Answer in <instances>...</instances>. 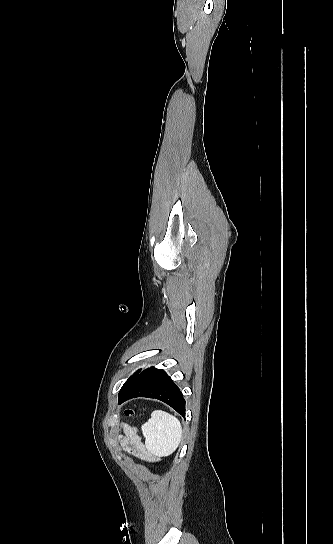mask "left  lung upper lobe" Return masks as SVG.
<instances>
[{"label": "left lung upper lobe", "instance_id": "5c2ea615", "mask_svg": "<svg viewBox=\"0 0 333 544\" xmlns=\"http://www.w3.org/2000/svg\"><path fill=\"white\" fill-rule=\"evenodd\" d=\"M139 371H140V370H138L133 376H131V377L124 383V385H123V387L121 388V390H122L125 386H127V385L132 381V379L139 373Z\"/></svg>", "mask_w": 333, "mask_h": 544}]
</instances>
